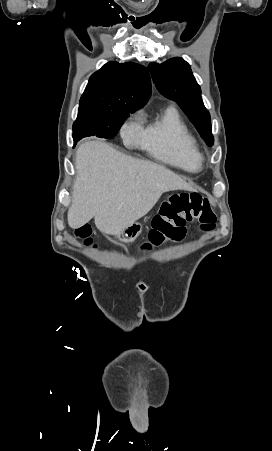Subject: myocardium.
<instances>
[{
    "label": "myocardium",
    "mask_w": 272,
    "mask_h": 451,
    "mask_svg": "<svg viewBox=\"0 0 272 451\" xmlns=\"http://www.w3.org/2000/svg\"><path fill=\"white\" fill-rule=\"evenodd\" d=\"M201 159H202V158H201V156L199 155V162L201 161ZM107 195H108V191H107Z\"/></svg>",
    "instance_id": "obj_1"
}]
</instances>
